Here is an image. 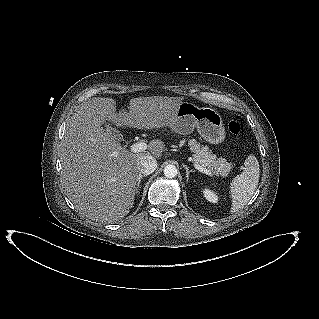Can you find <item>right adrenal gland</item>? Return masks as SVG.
Segmentation results:
<instances>
[{
  "instance_id": "obj_1",
  "label": "right adrenal gland",
  "mask_w": 319,
  "mask_h": 319,
  "mask_svg": "<svg viewBox=\"0 0 319 319\" xmlns=\"http://www.w3.org/2000/svg\"><path fill=\"white\" fill-rule=\"evenodd\" d=\"M143 177H146V176H145V175H143V176H139V179H138L137 185H136V187H135V193H136V194L139 192L141 179H142Z\"/></svg>"
}]
</instances>
